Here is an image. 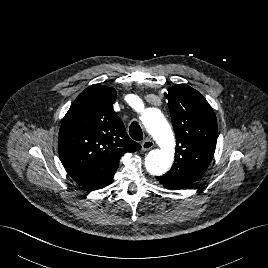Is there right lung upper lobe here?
I'll return each mask as SVG.
<instances>
[{
	"instance_id": "1",
	"label": "right lung upper lobe",
	"mask_w": 268,
	"mask_h": 268,
	"mask_svg": "<svg viewBox=\"0 0 268 268\" xmlns=\"http://www.w3.org/2000/svg\"><path fill=\"white\" fill-rule=\"evenodd\" d=\"M116 97L113 87L89 86L72 103L60 127L62 164L76 183L89 190L109 185L120 158L141 149L113 110Z\"/></svg>"
}]
</instances>
